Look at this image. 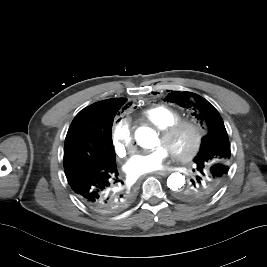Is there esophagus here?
Returning a JSON list of instances; mask_svg holds the SVG:
<instances>
[{
  "mask_svg": "<svg viewBox=\"0 0 267 267\" xmlns=\"http://www.w3.org/2000/svg\"><path fill=\"white\" fill-rule=\"evenodd\" d=\"M153 174L160 175V176H167L169 174L168 171H155Z\"/></svg>",
  "mask_w": 267,
  "mask_h": 267,
  "instance_id": "obj_1",
  "label": "esophagus"
}]
</instances>
